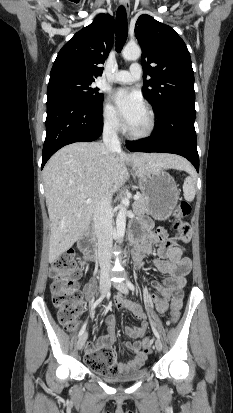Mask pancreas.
Listing matches in <instances>:
<instances>
[{
	"label": "pancreas",
	"mask_w": 233,
	"mask_h": 413,
	"mask_svg": "<svg viewBox=\"0 0 233 413\" xmlns=\"http://www.w3.org/2000/svg\"><path fill=\"white\" fill-rule=\"evenodd\" d=\"M148 201L143 194L133 204L134 213L138 216L148 212Z\"/></svg>",
	"instance_id": "1"
}]
</instances>
